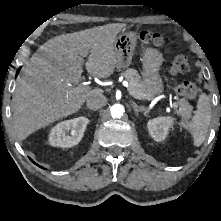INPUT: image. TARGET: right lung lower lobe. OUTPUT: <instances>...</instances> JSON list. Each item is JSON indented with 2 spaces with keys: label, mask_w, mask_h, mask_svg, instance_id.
I'll use <instances>...</instances> for the list:
<instances>
[{
  "label": "right lung lower lobe",
  "mask_w": 221,
  "mask_h": 221,
  "mask_svg": "<svg viewBox=\"0 0 221 221\" xmlns=\"http://www.w3.org/2000/svg\"><path fill=\"white\" fill-rule=\"evenodd\" d=\"M19 70H20V69H18L17 74H18ZM31 161H32V160H31ZM32 162H33V161H32ZM35 164H36V163H35ZM36 165L39 166L38 164H36ZM39 167H40V166H39Z\"/></svg>",
  "instance_id": "98d812e1"
}]
</instances>
